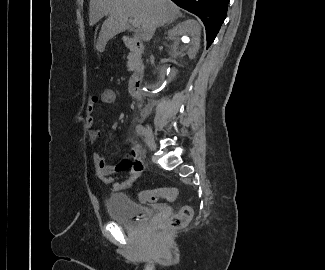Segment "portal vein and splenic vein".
<instances>
[{
	"instance_id": "1",
	"label": "portal vein and splenic vein",
	"mask_w": 325,
	"mask_h": 270,
	"mask_svg": "<svg viewBox=\"0 0 325 270\" xmlns=\"http://www.w3.org/2000/svg\"><path fill=\"white\" fill-rule=\"evenodd\" d=\"M130 22H131V24H132L133 27H135V28H139L140 27V22L136 18L130 19Z\"/></svg>"
}]
</instances>
